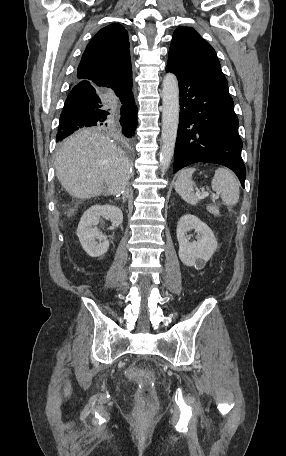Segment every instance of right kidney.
<instances>
[{
	"mask_svg": "<svg viewBox=\"0 0 286 456\" xmlns=\"http://www.w3.org/2000/svg\"><path fill=\"white\" fill-rule=\"evenodd\" d=\"M101 216L109 218L114 227L123 222L121 209L109 204L94 205L83 214L78 224L77 236L83 249L92 257L102 256L109 249V241L96 227Z\"/></svg>",
	"mask_w": 286,
	"mask_h": 456,
	"instance_id": "obj_1",
	"label": "right kidney"
}]
</instances>
